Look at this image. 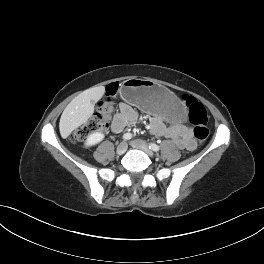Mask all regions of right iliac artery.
Returning <instances> with one entry per match:
<instances>
[{"label": "right iliac artery", "mask_w": 264, "mask_h": 264, "mask_svg": "<svg viewBox=\"0 0 264 264\" xmlns=\"http://www.w3.org/2000/svg\"><path fill=\"white\" fill-rule=\"evenodd\" d=\"M132 138V134L131 133H126L123 135V139L126 140H130Z\"/></svg>", "instance_id": "right-iliac-artery-1"}]
</instances>
